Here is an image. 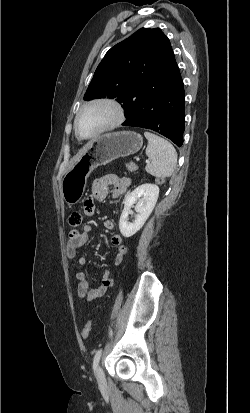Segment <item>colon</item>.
Returning <instances> with one entry per match:
<instances>
[{"label":"colon","mask_w":250,"mask_h":413,"mask_svg":"<svg viewBox=\"0 0 250 413\" xmlns=\"http://www.w3.org/2000/svg\"><path fill=\"white\" fill-rule=\"evenodd\" d=\"M126 167L131 172H135L138 170L137 164L132 161L127 162ZM154 184L156 187H164L166 184V176L164 174H159L155 179ZM84 213V210L73 211L68 218L69 226L72 228H78L83 222ZM91 329L92 321H88L82 329V337L84 339H87L89 337Z\"/></svg>","instance_id":"1"}]
</instances>
